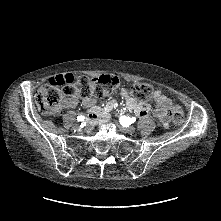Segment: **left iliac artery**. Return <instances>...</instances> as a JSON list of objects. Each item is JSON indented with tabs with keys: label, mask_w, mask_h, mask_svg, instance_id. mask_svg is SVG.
I'll return each instance as SVG.
<instances>
[{
	"label": "left iliac artery",
	"mask_w": 221,
	"mask_h": 221,
	"mask_svg": "<svg viewBox=\"0 0 221 221\" xmlns=\"http://www.w3.org/2000/svg\"><path fill=\"white\" fill-rule=\"evenodd\" d=\"M136 121V118H130L129 116H121L120 117V124L124 127H129L132 123Z\"/></svg>",
	"instance_id": "left-iliac-artery-1"
}]
</instances>
